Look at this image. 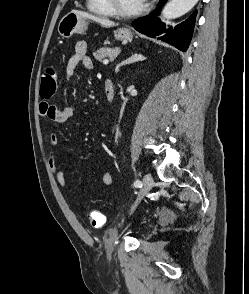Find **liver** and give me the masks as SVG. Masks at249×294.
<instances>
[{
  "instance_id": "1",
  "label": "liver",
  "mask_w": 249,
  "mask_h": 294,
  "mask_svg": "<svg viewBox=\"0 0 249 294\" xmlns=\"http://www.w3.org/2000/svg\"><path fill=\"white\" fill-rule=\"evenodd\" d=\"M74 12H76L77 14H79L80 16H82L86 19H90V20H93V21L101 24L103 27L109 28V27L115 26V23L113 21H110L109 19L97 17V16L88 14L83 11L74 10Z\"/></svg>"
}]
</instances>
